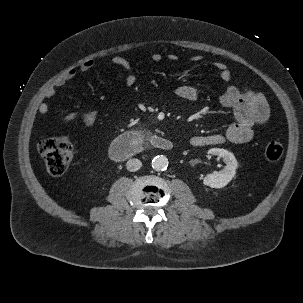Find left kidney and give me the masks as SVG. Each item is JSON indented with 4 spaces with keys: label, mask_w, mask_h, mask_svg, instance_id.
I'll return each mask as SVG.
<instances>
[{
    "label": "left kidney",
    "mask_w": 303,
    "mask_h": 303,
    "mask_svg": "<svg viewBox=\"0 0 303 303\" xmlns=\"http://www.w3.org/2000/svg\"><path fill=\"white\" fill-rule=\"evenodd\" d=\"M208 154L221 157L226 166L218 172L208 174L204 178L203 184L211 188H223L235 176L238 162L234 154L225 149L212 148L208 151Z\"/></svg>",
    "instance_id": "1"
}]
</instances>
